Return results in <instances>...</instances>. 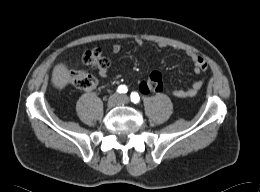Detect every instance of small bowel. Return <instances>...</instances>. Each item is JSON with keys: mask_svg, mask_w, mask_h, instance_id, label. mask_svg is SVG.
<instances>
[{"mask_svg": "<svg viewBox=\"0 0 260 192\" xmlns=\"http://www.w3.org/2000/svg\"><path fill=\"white\" fill-rule=\"evenodd\" d=\"M136 45L139 49L142 48L143 41L137 40ZM121 50H122V46L120 44H114L112 46V52L114 54L120 53ZM189 57H190L191 61L193 62V72L196 75H199V74H201V73H203L204 71L207 70L208 64L203 57H201V56H199L195 53H189ZM98 73H99L100 76L105 77V76L108 75V68L106 67V68L98 69ZM144 82L145 81L141 82L140 90H141L142 93L145 94ZM204 83H205V79L197 80V81L193 82L188 88L174 89L173 95L177 98L194 97L199 93V91L203 87Z\"/></svg>", "mask_w": 260, "mask_h": 192, "instance_id": "small-bowel-1", "label": "small bowel"}]
</instances>
